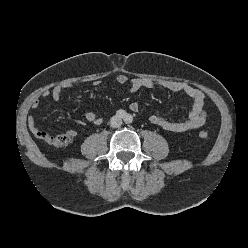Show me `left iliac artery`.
Returning a JSON list of instances; mask_svg holds the SVG:
<instances>
[{"label": "left iliac artery", "mask_w": 248, "mask_h": 248, "mask_svg": "<svg viewBox=\"0 0 248 248\" xmlns=\"http://www.w3.org/2000/svg\"><path fill=\"white\" fill-rule=\"evenodd\" d=\"M132 121H133V117H132L130 114H128V115L125 117V122H126L127 124H130V123H132Z\"/></svg>", "instance_id": "left-iliac-artery-1"}]
</instances>
